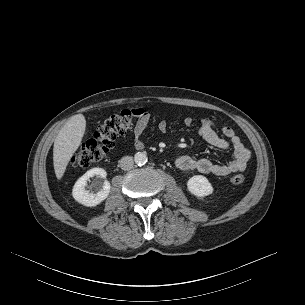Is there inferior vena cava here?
Wrapping results in <instances>:
<instances>
[{"mask_svg": "<svg viewBox=\"0 0 305 305\" xmlns=\"http://www.w3.org/2000/svg\"><path fill=\"white\" fill-rule=\"evenodd\" d=\"M134 165V160L131 156H124L120 160V167L122 170H130Z\"/></svg>", "mask_w": 305, "mask_h": 305, "instance_id": "602c4592", "label": "inferior vena cava"}]
</instances>
